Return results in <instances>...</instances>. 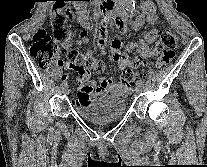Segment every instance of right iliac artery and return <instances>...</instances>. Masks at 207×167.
Listing matches in <instances>:
<instances>
[{
	"label": "right iliac artery",
	"instance_id": "right-iliac-artery-1",
	"mask_svg": "<svg viewBox=\"0 0 207 167\" xmlns=\"http://www.w3.org/2000/svg\"><path fill=\"white\" fill-rule=\"evenodd\" d=\"M61 86H62V88H65V87L67 86V83H66V82H63V83L61 84Z\"/></svg>",
	"mask_w": 207,
	"mask_h": 167
}]
</instances>
